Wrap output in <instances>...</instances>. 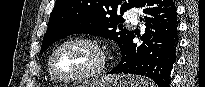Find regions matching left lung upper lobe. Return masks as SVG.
I'll use <instances>...</instances> for the list:
<instances>
[{
	"label": "left lung upper lobe",
	"instance_id": "obj_1",
	"mask_svg": "<svg viewBox=\"0 0 205 87\" xmlns=\"http://www.w3.org/2000/svg\"><path fill=\"white\" fill-rule=\"evenodd\" d=\"M139 0H57L51 13L40 53L71 34H94L114 40L121 52L134 34L123 28L119 13L135 7Z\"/></svg>",
	"mask_w": 205,
	"mask_h": 87
}]
</instances>
